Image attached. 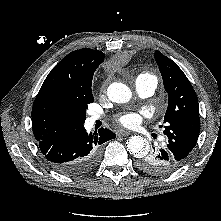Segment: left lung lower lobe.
<instances>
[{
    "instance_id": "0a47b994",
    "label": "left lung lower lobe",
    "mask_w": 221,
    "mask_h": 221,
    "mask_svg": "<svg viewBox=\"0 0 221 221\" xmlns=\"http://www.w3.org/2000/svg\"><path fill=\"white\" fill-rule=\"evenodd\" d=\"M184 162L175 156L166 143L152 146L151 152L138 158L140 170L154 175H166L179 169Z\"/></svg>"
}]
</instances>
